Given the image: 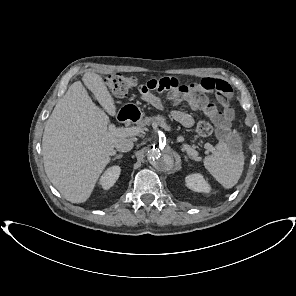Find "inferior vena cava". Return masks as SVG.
I'll use <instances>...</instances> for the list:
<instances>
[{
	"label": "inferior vena cava",
	"instance_id": "1",
	"mask_svg": "<svg viewBox=\"0 0 296 296\" xmlns=\"http://www.w3.org/2000/svg\"><path fill=\"white\" fill-rule=\"evenodd\" d=\"M133 146H134L133 141L127 138L119 139L115 143V148L119 152H128L133 148Z\"/></svg>",
	"mask_w": 296,
	"mask_h": 296
}]
</instances>
